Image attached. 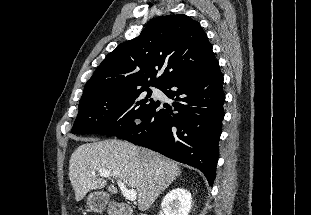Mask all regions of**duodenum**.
<instances>
[{"label": "duodenum", "instance_id": "obj_1", "mask_svg": "<svg viewBox=\"0 0 311 215\" xmlns=\"http://www.w3.org/2000/svg\"><path fill=\"white\" fill-rule=\"evenodd\" d=\"M114 215H133L131 208L126 204H118L114 208ZM146 215V214H140Z\"/></svg>", "mask_w": 311, "mask_h": 215}]
</instances>
